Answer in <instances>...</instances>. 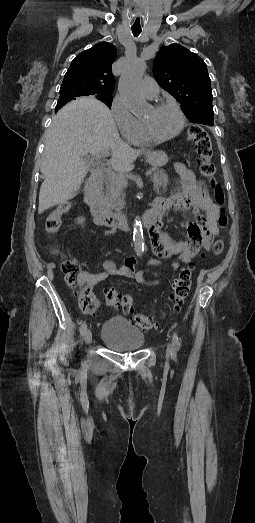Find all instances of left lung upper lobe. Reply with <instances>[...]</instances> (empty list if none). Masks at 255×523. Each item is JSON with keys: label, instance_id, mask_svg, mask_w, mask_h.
I'll return each instance as SVG.
<instances>
[{"label": "left lung upper lobe", "instance_id": "obj_1", "mask_svg": "<svg viewBox=\"0 0 255 523\" xmlns=\"http://www.w3.org/2000/svg\"><path fill=\"white\" fill-rule=\"evenodd\" d=\"M153 73L159 85L182 104L192 123L214 126L211 80L197 54L179 44L162 46L154 59Z\"/></svg>", "mask_w": 255, "mask_h": 523}]
</instances>
